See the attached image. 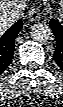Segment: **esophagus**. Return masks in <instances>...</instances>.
<instances>
[{
  "mask_svg": "<svg viewBox=\"0 0 63 107\" xmlns=\"http://www.w3.org/2000/svg\"><path fill=\"white\" fill-rule=\"evenodd\" d=\"M28 18L30 21H37L40 18V12L37 8H33L29 14H28Z\"/></svg>",
  "mask_w": 63,
  "mask_h": 107,
  "instance_id": "obj_1",
  "label": "esophagus"
}]
</instances>
